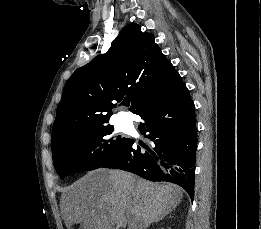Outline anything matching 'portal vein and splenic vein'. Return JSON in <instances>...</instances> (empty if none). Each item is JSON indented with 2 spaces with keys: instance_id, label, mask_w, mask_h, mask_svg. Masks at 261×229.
<instances>
[{
  "instance_id": "1",
  "label": "portal vein and splenic vein",
  "mask_w": 261,
  "mask_h": 229,
  "mask_svg": "<svg viewBox=\"0 0 261 229\" xmlns=\"http://www.w3.org/2000/svg\"><path fill=\"white\" fill-rule=\"evenodd\" d=\"M124 223H126L125 219H119L117 223L118 227H116V229H121V227H124Z\"/></svg>"
}]
</instances>
